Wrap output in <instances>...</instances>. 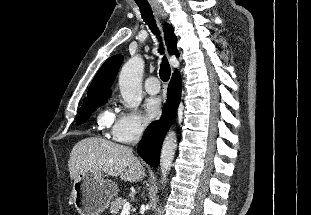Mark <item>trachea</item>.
Returning <instances> with one entry per match:
<instances>
[{
  "instance_id": "obj_1",
  "label": "trachea",
  "mask_w": 311,
  "mask_h": 215,
  "mask_svg": "<svg viewBox=\"0 0 311 215\" xmlns=\"http://www.w3.org/2000/svg\"><path fill=\"white\" fill-rule=\"evenodd\" d=\"M138 7L140 9L141 16H142L143 20L149 26L151 31L155 35H157L158 40L161 42L162 40L159 36V30L157 28L156 21L154 19V15H153L151 7L150 6H141V5H138ZM160 45H162V43ZM158 51L160 54H164V48L162 46L159 48ZM159 75H160L161 80L164 82H167L170 78L171 69H170V65H169V62H168L166 56H164L162 59Z\"/></svg>"
}]
</instances>
